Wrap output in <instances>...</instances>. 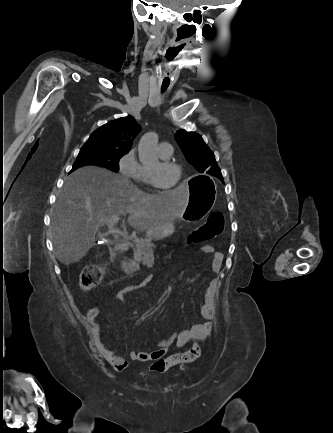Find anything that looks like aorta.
I'll use <instances>...</instances> for the list:
<instances>
[{"label":"aorta","instance_id":"obj_1","mask_svg":"<svg viewBox=\"0 0 333 433\" xmlns=\"http://www.w3.org/2000/svg\"><path fill=\"white\" fill-rule=\"evenodd\" d=\"M158 135L155 132L146 133L139 141V160L145 166H155L159 163L156 147Z\"/></svg>","mask_w":333,"mask_h":433}]
</instances>
